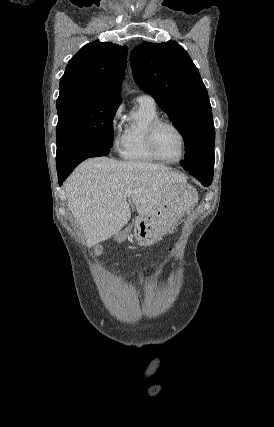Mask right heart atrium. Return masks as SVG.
Wrapping results in <instances>:
<instances>
[{
    "label": "right heart atrium",
    "mask_w": 274,
    "mask_h": 427,
    "mask_svg": "<svg viewBox=\"0 0 274 427\" xmlns=\"http://www.w3.org/2000/svg\"><path fill=\"white\" fill-rule=\"evenodd\" d=\"M119 115L120 113L118 111L115 112L110 121V131L114 142L116 141L119 131L121 129V125L118 122Z\"/></svg>",
    "instance_id": "obj_1"
}]
</instances>
